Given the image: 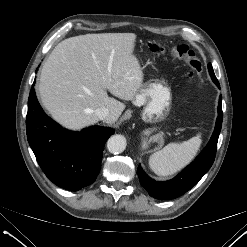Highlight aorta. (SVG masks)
<instances>
[{"instance_id": "762f6f07", "label": "aorta", "mask_w": 247, "mask_h": 247, "mask_svg": "<svg viewBox=\"0 0 247 247\" xmlns=\"http://www.w3.org/2000/svg\"><path fill=\"white\" fill-rule=\"evenodd\" d=\"M127 142L123 135H113L107 141V149L112 154L122 153L126 148Z\"/></svg>"}]
</instances>
